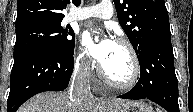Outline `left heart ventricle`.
Returning a JSON list of instances; mask_svg holds the SVG:
<instances>
[{
	"instance_id": "1",
	"label": "left heart ventricle",
	"mask_w": 193,
	"mask_h": 112,
	"mask_svg": "<svg viewBox=\"0 0 193 112\" xmlns=\"http://www.w3.org/2000/svg\"><path fill=\"white\" fill-rule=\"evenodd\" d=\"M102 68L111 79L118 82L127 81L132 72V62L128 50L123 45L115 42Z\"/></svg>"
}]
</instances>
